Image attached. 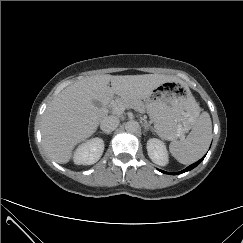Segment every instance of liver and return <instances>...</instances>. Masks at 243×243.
<instances>
[{
  "label": "liver",
  "mask_w": 243,
  "mask_h": 243,
  "mask_svg": "<svg viewBox=\"0 0 243 243\" xmlns=\"http://www.w3.org/2000/svg\"><path fill=\"white\" fill-rule=\"evenodd\" d=\"M166 82L181 83L175 77L159 74L95 75L75 82L62 90L44 112V149L57 163H68L74 147L92 136L102 119L94 101H104L114 94L123 99L144 100Z\"/></svg>",
  "instance_id": "obj_1"
}]
</instances>
